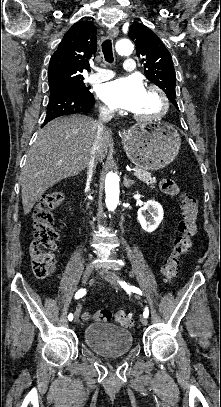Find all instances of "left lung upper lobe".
<instances>
[{"mask_svg":"<svg viewBox=\"0 0 221 407\" xmlns=\"http://www.w3.org/2000/svg\"><path fill=\"white\" fill-rule=\"evenodd\" d=\"M128 36L135 42L137 56L144 63L146 77L160 87L178 109L175 100L176 75L170 52L160 38L145 25H131Z\"/></svg>","mask_w":221,"mask_h":407,"instance_id":"5c2ea615","label":"left lung upper lobe"}]
</instances>
